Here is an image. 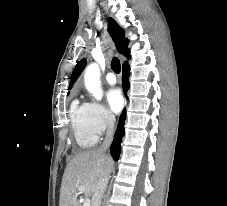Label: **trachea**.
Listing matches in <instances>:
<instances>
[{"instance_id": "1", "label": "trachea", "mask_w": 227, "mask_h": 206, "mask_svg": "<svg viewBox=\"0 0 227 206\" xmlns=\"http://www.w3.org/2000/svg\"><path fill=\"white\" fill-rule=\"evenodd\" d=\"M111 68L115 73H120V61L118 58L114 57L111 61Z\"/></svg>"}]
</instances>
